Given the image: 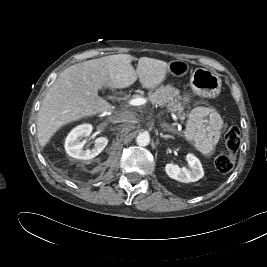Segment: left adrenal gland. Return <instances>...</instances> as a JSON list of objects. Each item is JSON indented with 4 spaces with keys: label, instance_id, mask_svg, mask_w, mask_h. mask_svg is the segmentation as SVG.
Listing matches in <instances>:
<instances>
[{
    "label": "left adrenal gland",
    "instance_id": "a2214340",
    "mask_svg": "<svg viewBox=\"0 0 267 267\" xmlns=\"http://www.w3.org/2000/svg\"><path fill=\"white\" fill-rule=\"evenodd\" d=\"M163 128H164L165 131H169V132H172V131H173V129H172L171 127H169V126H165V125H163ZM160 136H161L162 138H164L165 140L170 139V138H174V137L171 136V135H163V134H160Z\"/></svg>",
    "mask_w": 267,
    "mask_h": 267
}]
</instances>
